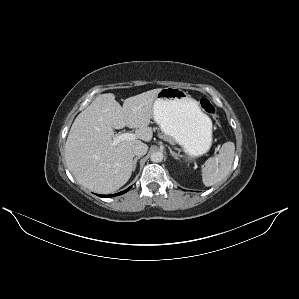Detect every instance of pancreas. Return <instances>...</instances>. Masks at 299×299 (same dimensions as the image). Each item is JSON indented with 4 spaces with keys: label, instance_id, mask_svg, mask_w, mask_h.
Returning <instances> with one entry per match:
<instances>
[{
    "label": "pancreas",
    "instance_id": "cf45deb5",
    "mask_svg": "<svg viewBox=\"0 0 299 299\" xmlns=\"http://www.w3.org/2000/svg\"><path fill=\"white\" fill-rule=\"evenodd\" d=\"M159 137H160L161 139H163V140H166V141H168L170 144H174V141H173V139H172V138H170V137H168V136H166V135L159 134Z\"/></svg>",
    "mask_w": 299,
    "mask_h": 299
}]
</instances>
